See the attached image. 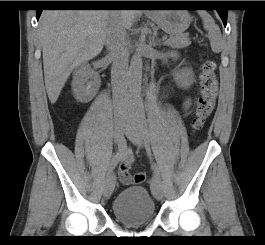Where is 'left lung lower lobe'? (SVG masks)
<instances>
[{"mask_svg":"<svg viewBox=\"0 0 265 245\" xmlns=\"http://www.w3.org/2000/svg\"><path fill=\"white\" fill-rule=\"evenodd\" d=\"M157 4L165 5V6H176L182 4V1H157ZM218 14L220 15L224 25L226 26L227 22V9H219L217 10Z\"/></svg>","mask_w":265,"mask_h":245,"instance_id":"left-lung-lower-lobe-1","label":"left lung lower lobe"}]
</instances>
